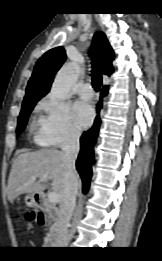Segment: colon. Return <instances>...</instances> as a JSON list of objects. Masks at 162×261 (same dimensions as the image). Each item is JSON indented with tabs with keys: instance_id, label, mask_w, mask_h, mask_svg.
<instances>
[{
	"instance_id": "colon-1",
	"label": "colon",
	"mask_w": 162,
	"mask_h": 261,
	"mask_svg": "<svg viewBox=\"0 0 162 261\" xmlns=\"http://www.w3.org/2000/svg\"><path fill=\"white\" fill-rule=\"evenodd\" d=\"M25 217L29 223L37 222L38 224L41 225L43 222V215L40 212L39 213L34 211L28 212Z\"/></svg>"
}]
</instances>
